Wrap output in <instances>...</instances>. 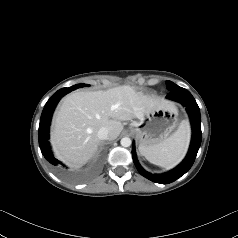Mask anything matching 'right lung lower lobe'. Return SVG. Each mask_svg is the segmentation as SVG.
<instances>
[{"label":"right lung lower lobe","instance_id":"98d812e1","mask_svg":"<svg viewBox=\"0 0 238 238\" xmlns=\"http://www.w3.org/2000/svg\"><path fill=\"white\" fill-rule=\"evenodd\" d=\"M77 88L79 87H77V85H74L69 88H62L58 90L57 92H55L45 104V107L41 114L40 124H39V134H38L39 146L44 157L53 165H58L60 162L54 158L50 149L49 141H48L49 139L48 133H49V125H50L51 116L60 98Z\"/></svg>","mask_w":238,"mask_h":238}]
</instances>
